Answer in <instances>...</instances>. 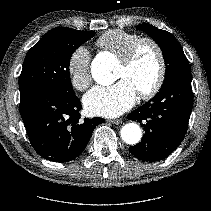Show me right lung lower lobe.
I'll list each match as a JSON object with an SVG mask.
<instances>
[{
  "instance_id": "right-lung-lower-lobe-1",
  "label": "right lung lower lobe",
  "mask_w": 211,
  "mask_h": 211,
  "mask_svg": "<svg viewBox=\"0 0 211 211\" xmlns=\"http://www.w3.org/2000/svg\"><path fill=\"white\" fill-rule=\"evenodd\" d=\"M81 102L51 90L20 99V114L34 150L53 162H69L85 149L94 128L103 118L80 121Z\"/></svg>"
}]
</instances>
